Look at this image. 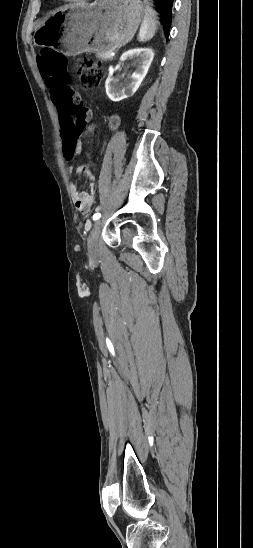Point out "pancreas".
Returning <instances> with one entry per match:
<instances>
[{"mask_svg": "<svg viewBox=\"0 0 253 548\" xmlns=\"http://www.w3.org/2000/svg\"><path fill=\"white\" fill-rule=\"evenodd\" d=\"M111 52L106 53H98V57L102 60H111L112 56L110 55Z\"/></svg>", "mask_w": 253, "mask_h": 548, "instance_id": "obj_1", "label": "pancreas"}]
</instances>
